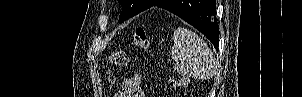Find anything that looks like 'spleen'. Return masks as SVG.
Wrapping results in <instances>:
<instances>
[{"label":"spleen","mask_w":302,"mask_h":97,"mask_svg":"<svg viewBox=\"0 0 302 97\" xmlns=\"http://www.w3.org/2000/svg\"><path fill=\"white\" fill-rule=\"evenodd\" d=\"M171 56L174 70L194 79L206 80L216 72V61L208 45L191 30L178 27L173 34Z\"/></svg>","instance_id":"spleen-1"}]
</instances>
